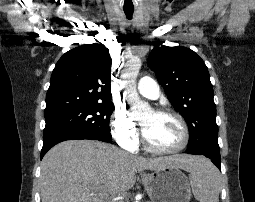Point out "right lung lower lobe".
Here are the masks:
<instances>
[{"instance_id": "1", "label": "right lung lower lobe", "mask_w": 255, "mask_h": 202, "mask_svg": "<svg viewBox=\"0 0 255 202\" xmlns=\"http://www.w3.org/2000/svg\"><path fill=\"white\" fill-rule=\"evenodd\" d=\"M83 140V139H89V140H98L95 137L84 133L82 131L78 130H72V129H64V130H55L48 133H44L43 135V147L41 150V158L45 155V153L52 148L57 143H60L65 140Z\"/></svg>"}]
</instances>
